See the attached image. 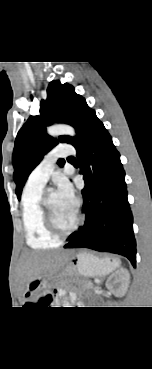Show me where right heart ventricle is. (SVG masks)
<instances>
[{
    "instance_id": "1",
    "label": "right heart ventricle",
    "mask_w": 152,
    "mask_h": 369,
    "mask_svg": "<svg viewBox=\"0 0 152 369\" xmlns=\"http://www.w3.org/2000/svg\"><path fill=\"white\" fill-rule=\"evenodd\" d=\"M42 188L25 186L22 193V221L27 244L34 249H48L59 245L44 223L41 208Z\"/></svg>"
}]
</instances>
